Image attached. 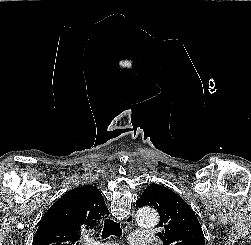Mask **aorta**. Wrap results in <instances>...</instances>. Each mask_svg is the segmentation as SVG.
Wrapping results in <instances>:
<instances>
[{
	"label": "aorta",
	"instance_id": "obj_1",
	"mask_svg": "<svg viewBox=\"0 0 251 245\" xmlns=\"http://www.w3.org/2000/svg\"><path fill=\"white\" fill-rule=\"evenodd\" d=\"M137 222L141 227H154L158 222V214L151 207H143L137 211Z\"/></svg>",
	"mask_w": 251,
	"mask_h": 245
}]
</instances>
